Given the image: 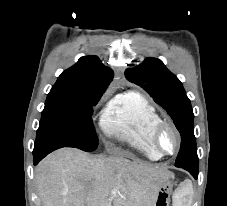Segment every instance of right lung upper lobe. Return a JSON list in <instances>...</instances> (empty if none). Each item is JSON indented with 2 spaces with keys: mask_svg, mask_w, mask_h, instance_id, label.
Masks as SVG:
<instances>
[{
  "mask_svg": "<svg viewBox=\"0 0 227 206\" xmlns=\"http://www.w3.org/2000/svg\"><path fill=\"white\" fill-rule=\"evenodd\" d=\"M113 76L97 56H85L61 73L51 91L102 96Z\"/></svg>",
  "mask_w": 227,
  "mask_h": 206,
  "instance_id": "1",
  "label": "right lung upper lobe"
}]
</instances>
